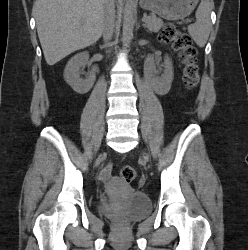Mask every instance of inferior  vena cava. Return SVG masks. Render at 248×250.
<instances>
[{"label": "inferior vena cava", "instance_id": "inferior-vena-cava-1", "mask_svg": "<svg viewBox=\"0 0 248 250\" xmlns=\"http://www.w3.org/2000/svg\"><path fill=\"white\" fill-rule=\"evenodd\" d=\"M115 30L114 0H106L103 23V40L107 44L112 39Z\"/></svg>", "mask_w": 248, "mask_h": 250}]
</instances>
